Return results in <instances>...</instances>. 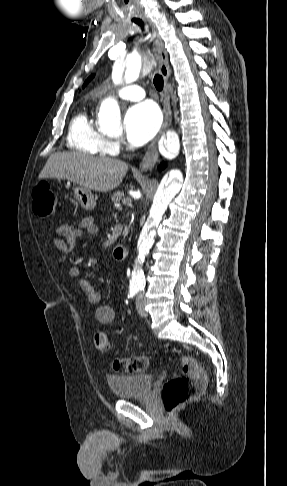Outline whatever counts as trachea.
<instances>
[{"label":"trachea","mask_w":287,"mask_h":486,"mask_svg":"<svg viewBox=\"0 0 287 486\" xmlns=\"http://www.w3.org/2000/svg\"><path fill=\"white\" fill-rule=\"evenodd\" d=\"M134 22L143 27V22L141 20H134ZM153 83L157 90L161 91L163 89V78L161 75L156 74L154 76Z\"/></svg>","instance_id":"obj_1"}]
</instances>
